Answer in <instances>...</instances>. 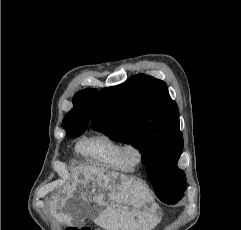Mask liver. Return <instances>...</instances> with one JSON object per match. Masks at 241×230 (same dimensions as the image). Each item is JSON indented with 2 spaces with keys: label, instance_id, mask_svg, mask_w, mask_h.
Listing matches in <instances>:
<instances>
[{
  "label": "liver",
  "instance_id": "6515ba94",
  "mask_svg": "<svg viewBox=\"0 0 241 230\" xmlns=\"http://www.w3.org/2000/svg\"><path fill=\"white\" fill-rule=\"evenodd\" d=\"M80 173L84 175L83 181L78 180ZM118 177L119 182L115 183ZM88 181L93 182L91 190L94 194L93 202L101 205L107 198L110 203L104 204L105 208L93 220L101 228L105 230H152L157 226L158 218L154 210L147 206L152 201L148 190L127 176L115 172L110 173L99 167H79L73 174V183L64 186L66 198L61 202L54 200L55 211L60 209V217L67 225H72V217L68 213H63L62 209L66 201L73 197L77 184L79 182L86 184ZM81 198L82 202H87L85 193H81ZM85 208L86 214L93 212L90 207Z\"/></svg>",
  "mask_w": 241,
  "mask_h": 230
}]
</instances>
